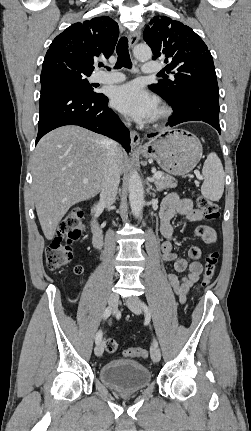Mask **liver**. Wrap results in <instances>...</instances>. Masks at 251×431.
Returning a JSON list of instances; mask_svg holds the SVG:
<instances>
[{"mask_svg":"<svg viewBox=\"0 0 251 431\" xmlns=\"http://www.w3.org/2000/svg\"><path fill=\"white\" fill-rule=\"evenodd\" d=\"M107 138L69 125L46 134L38 143L32 162V192L38 219L47 240L67 211L95 197L104 184ZM122 174L124 153L117 151ZM88 179V183H83Z\"/></svg>","mask_w":251,"mask_h":431,"instance_id":"1","label":"liver"}]
</instances>
